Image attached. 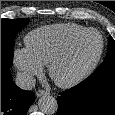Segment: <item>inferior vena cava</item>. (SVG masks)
<instances>
[{
    "label": "inferior vena cava",
    "mask_w": 115,
    "mask_h": 115,
    "mask_svg": "<svg viewBox=\"0 0 115 115\" xmlns=\"http://www.w3.org/2000/svg\"><path fill=\"white\" fill-rule=\"evenodd\" d=\"M15 84L23 90H31L35 86V78L27 72H18Z\"/></svg>",
    "instance_id": "obj_1"
}]
</instances>
